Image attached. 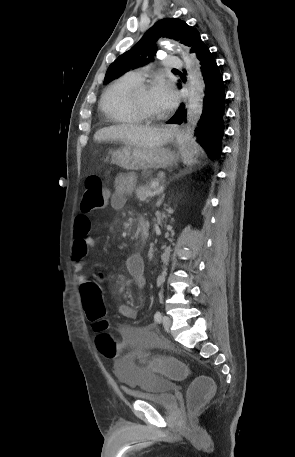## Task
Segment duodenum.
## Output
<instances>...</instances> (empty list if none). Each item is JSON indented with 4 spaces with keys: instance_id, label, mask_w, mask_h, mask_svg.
<instances>
[{
    "instance_id": "1",
    "label": "duodenum",
    "mask_w": 295,
    "mask_h": 457,
    "mask_svg": "<svg viewBox=\"0 0 295 457\" xmlns=\"http://www.w3.org/2000/svg\"><path fill=\"white\" fill-rule=\"evenodd\" d=\"M138 226L142 240H146L149 236V226L147 222L143 218H140L138 220Z\"/></svg>"
}]
</instances>
